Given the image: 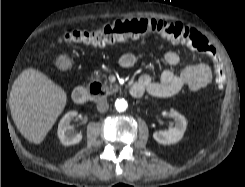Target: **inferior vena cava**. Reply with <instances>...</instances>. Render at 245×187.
Segmentation results:
<instances>
[{
  "label": "inferior vena cava",
  "instance_id": "obj_1",
  "mask_svg": "<svg viewBox=\"0 0 245 187\" xmlns=\"http://www.w3.org/2000/svg\"><path fill=\"white\" fill-rule=\"evenodd\" d=\"M109 109V104L107 102V100H101L100 102H98L97 104V110L101 113L106 112Z\"/></svg>",
  "mask_w": 245,
  "mask_h": 187
}]
</instances>
